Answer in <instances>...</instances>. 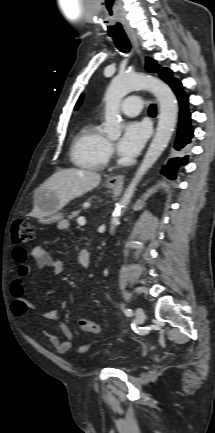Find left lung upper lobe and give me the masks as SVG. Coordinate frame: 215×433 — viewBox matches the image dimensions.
I'll return each instance as SVG.
<instances>
[{
    "label": "left lung upper lobe",
    "mask_w": 215,
    "mask_h": 433,
    "mask_svg": "<svg viewBox=\"0 0 215 433\" xmlns=\"http://www.w3.org/2000/svg\"><path fill=\"white\" fill-rule=\"evenodd\" d=\"M146 70L157 72L159 76L167 83L173 79L171 75L172 71L170 69L161 68L157 62L151 58L146 59Z\"/></svg>",
    "instance_id": "left-lung-upper-lobe-1"
}]
</instances>
